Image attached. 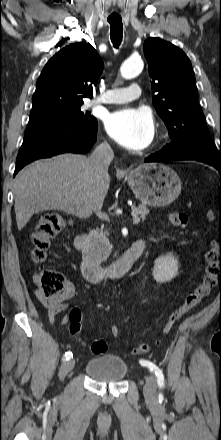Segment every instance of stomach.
Segmentation results:
<instances>
[{"instance_id":"1","label":"stomach","mask_w":221,"mask_h":440,"mask_svg":"<svg viewBox=\"0 0 221 440\" xmlns=\"http://www.w3.org/2000/svg\"><path fill=\"white\" fill-rule=\"evenodd\" d=\"M127 179L136 198L154 207L171 204L181 192L179 176L162 163L141 164L129 172Z\"/></svg>"}]
</instances>
